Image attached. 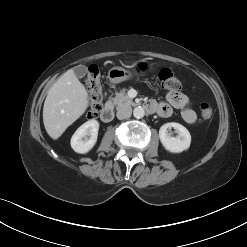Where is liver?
Returning <instances> with one entry per match:
<instances>
[{
	"label": "liver",
	"mask_w": 247,
	"mask_h": 247,
	"mask_svg": "<svg viewBox=\"0 0 247 247\" xmlns=\"http://www.w3.org/2000/svg\"><path fill=\"white\" fill-rule=\"evenodd\" d=\"M88 93L70 69L49 89L43 107V123L48 135L56 140L88 107Z\"/></svg>",
	"instance_id": "obj_1"
}]
</instances>
